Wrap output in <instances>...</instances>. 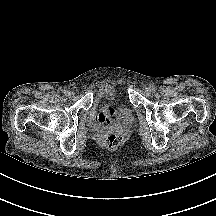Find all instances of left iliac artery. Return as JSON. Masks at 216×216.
<instances>
[{"mask_svg": "<svg viewBox=\"0 0 216 216\" xmlns=\"http://www.w3.org/2000/svg\"><path fill=\"white\" fill-rule=\"evenodd\" d=\"M151 88H152V91H154V90H155V87H154L153 85L151 86Z\"/></svg>", "mask_w": 216, "mask_h": 216, "instance_id": "obj_1", "label": "left iliac artery"}]
</instances>
